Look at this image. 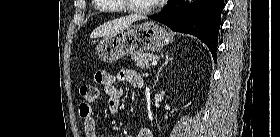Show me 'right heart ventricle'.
I'll use <instances>...</instances> for the list:
<instances>
[{
    "mask_svg": "<svg viewBox=\"0 0 280 137\" xmlns=\"http://www.w3.org/2000/svg\"><path fill=\"white\" fill-rule=\"evenodd\" d=\"M97 3V9L103 12H108V13H117V12H112L110 10L117 9L113 6H109L107 3L109 0H95Z\"/></svg>",
    "mask_w": 280,
    "mask_h": 137,
    "instance_id": "1",
    "label": "right heart ventricle"
}]
</instances>
